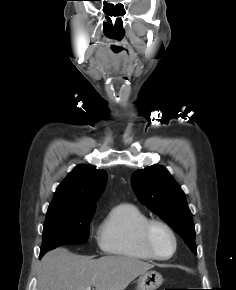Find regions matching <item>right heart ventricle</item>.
Returning a JSON list of instances; mask_svg holds the SVG:
<instances>
[{"mask_svg": "<svg viewBox=\"0 0 236 290\" xmlns=\"http://www.w3.org/2000/svg\"><path fill=\"white\" fill-rule=\"evenodd\" d=\"M148 220V216L134 204L121 203L114 206L98 231L100 249L106 254L128 259L153 260L145 251L140 238L141 228Z\"/></svg>", "mask_w": 236, "mask_h": 290, "instance_id": "1", "label": "right heart ventricle"}]
</instances>
